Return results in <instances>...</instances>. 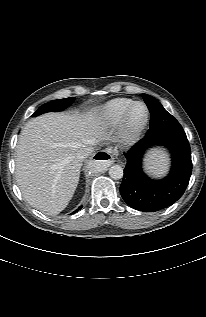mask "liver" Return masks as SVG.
Returning a JSON list of instances; mask_svg holds the SVG:
<instances>
[{
	"instance_id": "obj_1",
	"label": "liver",
	"mask_w": 206,
	"mask_h": 317,
	"mask_svg": "<svg viewBox=\"0 0 206 317\" xmlns=\"http://www.w3.org/2000/svg\"><path fill=\"white\" fill-rule=\"evenodd\" d=\"M107 139L96 112L46 113L28 121L16 147V181L24 199L48 215L63 211L79 182V149Z\"/></svg>"
}]
</instances>
